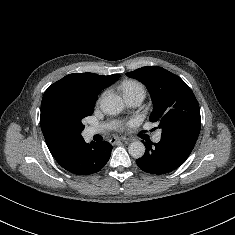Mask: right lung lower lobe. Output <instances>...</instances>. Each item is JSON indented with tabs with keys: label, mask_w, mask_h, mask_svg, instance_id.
<instances>
[{
	"label": "right lung lower lobe",
	"mask_w": 235,
	"mask_h": 235,
	"mask_svg": "<svg viewBox=\"0 0 235 235\" xmlns=\"http://www.w3.org/2000/svg\"><path fill=\"white\" fill-rule=\"evenodd\" d=\"M112 148L109 142L100 141L88 144L81 137L73 141L61 154L55 156V159L69 172L88 175L105 166Z\"/></svg>",
	"instance_id": "right-lung-lower-lobe-1"
}]
</instances>
